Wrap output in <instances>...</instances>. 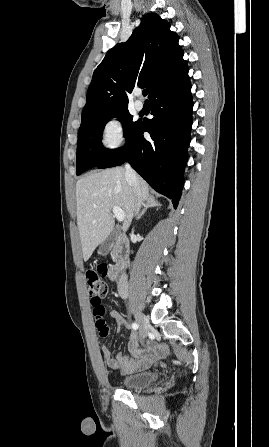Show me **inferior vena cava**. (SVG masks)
<instances>
[{
    "label": "inferior vena cava",
    "instance_id": "obj_1",
    "mask_svg": "<svg viewBox=\"0 0 269 447\" xmlns=\"http://www.w3.org/2000/svg\"><path fill=\"white\" fill-rule=\"evenodd\" d=\"M125 178L127 180V182H130V184H133V192L135 194V214H138L141 206H143V202H142V196H141V190H140V184H139V180L137 178V174L136 172H134V170H132L131 166H129V164H125ZM117 287H118V291L120 293V295H128V277L126 275V273H122V275H120V279L117 283Z\"/></svg>",
    "mask_w": 269,
    "mask_h": 447
}]
</instances>
